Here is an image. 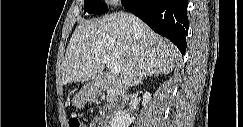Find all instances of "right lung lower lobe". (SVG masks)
I'll return each instance as SVG.
<instances>
[{
  "label": "right lung lower lobe",
  "instance_id": "right-lung-lower-lobe-1",
  "mask_svg": "<svg viewBox=\"0 0 243 127\" xmlns=\"http://www.w3.org/2000/svg\"><path fill=\"white\" fill-rule=\"evenodd\" d=\"M122 4L185 53L189 27L187 0H122Z\"/></svg>",
  "mask_w": 243,
  "mask_h": 127
}]
</instances>
